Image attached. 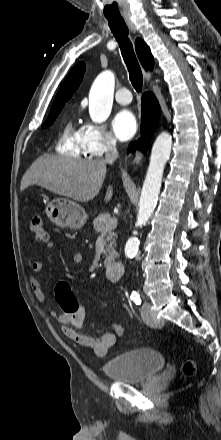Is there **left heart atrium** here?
<instances>
[{
	"label": "left heart atrium",
	"instance_id": "39dd6f15",
	"mask_svg": "<svg viewBox=\"0 0 221 440\" xmlns=\"http://www.w3.org/2000/svg\"><path fill=\"white\" fill-rule=\"evenodd\" d=\"M112 129L116 137L122 141L134 136L137 130V122L128 110H122L115 115L112 121Z\"/></svg>",
	"mask_w": 221,
	"mask_h": 440
}]
</instances>
